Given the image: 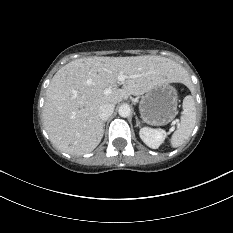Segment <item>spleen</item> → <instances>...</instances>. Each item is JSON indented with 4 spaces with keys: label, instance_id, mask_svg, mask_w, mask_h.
I'll list each match as a JSON object with an SVG mask.
<instances>
[{
    "label": "spleen",
    "instance_id": "spleen-1",
    "mask_svg": "<svg viewBox=\"0 0 233 233\" xmlns=\"http://www.w3.org/2000/svg\"><path fill=\"white\" fill-rule=\"evenodd\" d=\"M181 122L171 137V146L177 148L185 143L191 135L196 123V106L193 96L188 95L183 100Z\"/></svg>",
    "mask_w": 233,
    "mask_h": 233
}]
</instances>
